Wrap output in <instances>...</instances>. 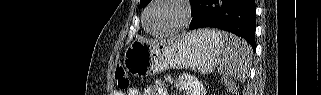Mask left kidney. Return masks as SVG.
I'll list each match as a JSON object with an SVG mask.
<instances>
[{
	"instance_id": "left-kidney-1",
	"label": "left kidney",
	"mask_w": 321,
	"mask_h": 95,
	"mask_svg": "<svg viewBox=\"0 0 321 95\" xmlns=\"http://www.w3.org/2000/svg\"><path fill=\"white\" fill-rule=\"evenodd\" d=\"M228 90H229L230 92H234V89H233L232 87H229Z\"/></svg>"
}]
</instances>
